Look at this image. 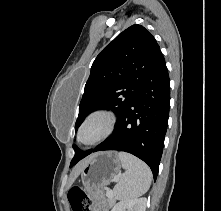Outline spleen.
Returning <instances> with one entry per match:
<instances>
[{"label":"spleen","mask_w":221,"mask_h":211,"mask_svg":"<svg viewBox=\"0 0 221 211\" xmlns=\"http://www.w3.org/2000/svg\"><path fill=\"white\" fill-rule=\"evenodd\" d=\"M117 156L125 172L114 188L115 198L130 200L145 194L152 180L150 168L131 154L119 152Z\"/></svg>","instance_id":"1"}]
</instances>
